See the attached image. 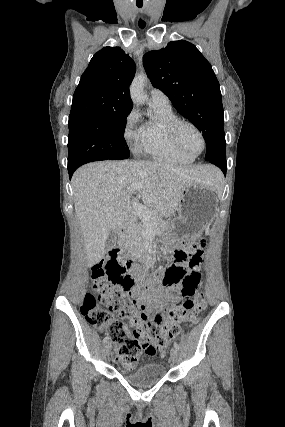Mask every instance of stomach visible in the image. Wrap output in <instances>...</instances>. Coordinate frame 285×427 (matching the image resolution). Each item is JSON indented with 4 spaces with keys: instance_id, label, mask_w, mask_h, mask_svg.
Instances as JSON below:
<instances>
[{
    "instance_id": "0dacf381",
    "label": "stomach",
    "mask_w": 285,
    "mask_h": 427,
    "mask_svg": "<svg viewBox=\"0 0 285 427\" xmlns=\"http://www.w3.org/2000/svg\"><path fill=\"white\" fill-rule=\"evenodd\" d=\"M216 191L205 184H191L185 188L178 205V216L168 233L180 237H196L217 216Z\"/></svg>"
}]
</instances>
